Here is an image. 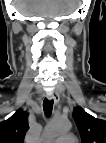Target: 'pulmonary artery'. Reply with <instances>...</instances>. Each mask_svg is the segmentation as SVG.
<instances>
[{
    "mask_svg": "<svg viewBox=\"0 0 106 143\" xmlns=\"http://www.w3.org/2000/svg\"><path fill=\"white\" fill-rule=\"evenodd\" d=\"M60 140H63V141H66V142H73V141L76 140V138L73 135L68 134V135L60 138Z\"/></svg>",
    "mask_w": 106,
    "mask_h": 143,
    "instance_id": "pulmonary-artery-1",
    "label": "pulmonary artery"
}]
</instances>
